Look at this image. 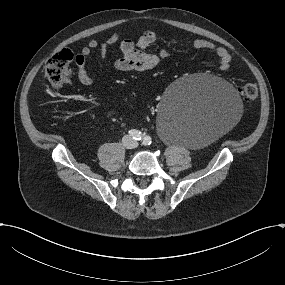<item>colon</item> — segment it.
<instances>
[{"label":"colon","mask_w":285,"mask_h":285,"mask_svg":"<svg viewBox=\"0 0 285 285\" xmlns=\"http://www.w3.org/2000/svg\"><path fill=\"white\" fill-rule=\"evenodd\" d=\"M73 54L68 49L56 52L45 65V74L49 82L54 86H60L68 79L71 74V62ZM241 95L248 103L257 100L259 91L254 83H246L241 88Z\"/></svg>","instance_id":"colon-1"}]
</instances>
